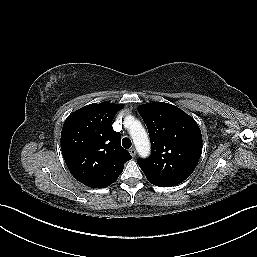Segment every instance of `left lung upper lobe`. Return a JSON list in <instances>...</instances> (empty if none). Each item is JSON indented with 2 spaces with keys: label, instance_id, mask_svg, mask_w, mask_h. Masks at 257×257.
<instances>
[{
  "label": "left lung upper lobe",
  "instance_id": "left-lung-upper-lobe-1",
  "mask_svg": "<svg viewBox=\"0 0 257 257\" xmlns=\"http://www.w3.org/2000/svg\"><path fill=\"white\" fill-rule=\"evenodd\" d=\"M138 111L147 125L152 151L137 163L149 182L188 178L202 153V135L195 120L168 103L143 104Z\"/></svg>",
  "mask_w": 257,
  "mask_h": 257
}]
</instances>
